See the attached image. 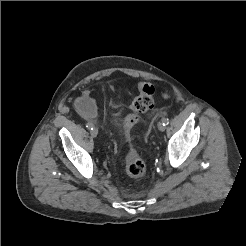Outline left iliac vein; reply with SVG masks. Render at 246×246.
<instances>
[{
  "label": "left iliac vein",
  "instance_id": "1",
  "mask_svg": "<svg viewBox=\"0 0 246 246\" xmlns=\"http://www.w3.org/2000/svg\"><path fill=\"white\" fill-rule=\"evenodd\" d=\"M165 128H166V127L163 125V122H159V123H158V129H159L160 131H164Z\"/></svg>",
  "mask_w": 246,
  "mask_h": 246
}]
</instances>
